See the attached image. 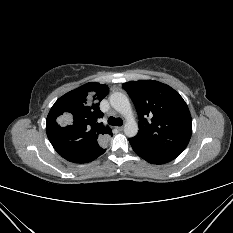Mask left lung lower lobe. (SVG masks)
<instances>
[{
	"mask_svg": "<svg viewBox=\"0 0 233 233\" xmlns=\"http://www.w3.org/2000/svg\"><path fill=\"white\" fill-rule=\"evenodd\" d=\"M129 142L133 148V150L144 160L151 164H164L167 162L172 161L177 157V155H172L164 152H160L157 150L150 149L143 144L133 140L132 138L129 139Z\"/></svg>",
	"mask_w": 233,
	"mask_h": 233,
	"instance_id": "1",
	"label": "left lung lower lobe"
}]
</instances>
